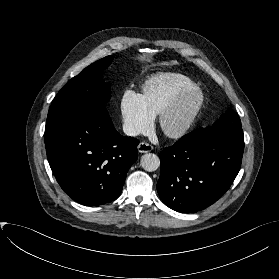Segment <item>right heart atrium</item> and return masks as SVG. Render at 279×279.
<instances>
[{"label": "right heart atrium", "mask_w": 279, "mask_h": 279, "mask_svg": "<svg viewBox=\"0 0 279 279\" xmlns=\"http://www.w3.org/2000/svg\"><path fill=\"white\" fill-rule=\"evenodd\" d=\"M123 129L129 136L145 133L152 125L154 116L147 108L142 95L126 90L120 100Z\"/></svg>", "instance_id": "right-heart-atrium-1"}]
</instances>
